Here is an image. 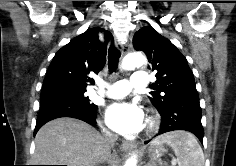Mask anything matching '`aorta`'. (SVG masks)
<instances>
[{
	"mask_svg": "<svg viewBox=\"0 0 236 166\" xmlns=\"http://www.w3.org/2000/svg\"><path fill=\"white\" fill-rule=\"evenodd\" d=\"M146 65L145 57L140 53H132L127 55L123 62L122 68L125 70H133L135 68L144 67ZM137 159L136 156L133 155L130 157L124 164V166H136Z\"/></svg>",
	"mask_w": 236,
	"mask_h": 166,
	"instance_id": "aorta-1",
	"label": "aorta"
}]
</instances>
